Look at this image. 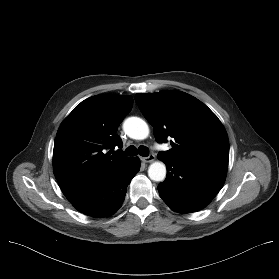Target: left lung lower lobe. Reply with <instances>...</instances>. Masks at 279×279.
<instances>
[{
	"instance_id": "0a47b994",
	"label": "left lung lower lobe",
	"mask_w": 279,
	"mask_h": 279,
	"mask_svg": "<svg viewBox=\"0 0 279 279\" xmlns=\"http://www.w3.org/2000/svg\"><path fill=\"white\" fill-rule=\"evenodd\" d=\"M167 166V177L158 185L159 195L174 211L201 210L222 188L227 170L184 164L158 157Z\"/></svg>"
}]
</instances>
